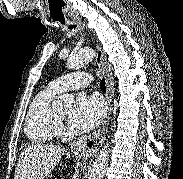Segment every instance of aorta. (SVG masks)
<instances>
[{"instance_id": "aorta-1", "label": "aorta", "mask_w": 183, "mask_h": 179, "mask_svg": "<svg viewBox=\"0 0 183 179\" xmlns=\"http://www.w3.org/2000/svg\"><path fill=\"white\" fill-rule=\"evenodd\" d=\"M95 53L91 48L83 49L72 54L67 59V68L78 70L92 61ZM73 97L64 94L57 97L53 102V107L57 109H67L72 106ZM109 144L105 145L96 157L90 176L88 179H103L109 160Z\"/></svg>"}]
</instances>
